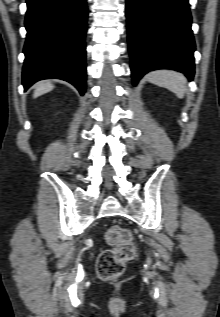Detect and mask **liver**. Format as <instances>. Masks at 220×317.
Listing matches in <instances>:
<instances>
[{
	"mask_svg": "<svg viewBox=\"0 0 220 317\" xmlns=\"http://www.w3.org/2000/svg\"><path fill=\"white\" fill-rule=\"evenodd\" d=\"M53 88H54V85L49 81L40 82L35 86L33 97H35V98L39 97V96L51 91Z\"/></svg>",
	"mask_w": 220,
	"mask_h": 317,
	"instance_id": "6515ba94",
	"label": "liver"
}]
</instances>
